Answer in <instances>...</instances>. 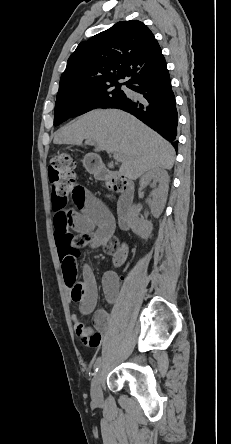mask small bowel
I'll return each instance as SVG.
<instances>
[{"mask_svg": "<svg viewBox=\"0 0 231 444\" xmlns=\"http://www.w3.org/2000/svg\"><path fill=\"white\" fill-rule=\"evenodd\" d=\"M72 200L77 210L69 206ZM54 236L58 249L65 284L72 301L79 302V312H72L71 318L78 338L91 347L99 346L102 334L111 324L110 315L104 310L93 314V327L86 325L84 317L92 313L97 304L98 291L95 276L89 266L83 269L85 292L76 298L73 290L76 285L77 268L66 262L68 257L78 256L80 248H102L108 255L121 253L125 256L126 246L114 236V220L106 206L91 192L77 184L73 194L65 199L53 197ZM106 300L115 303L119 291V277L114 271H107L102 280Z\"/></svg>", "mask_w": 231, "mask_h": 444, "instance_id": "1", "label": "small bowel"}]
</instances>
